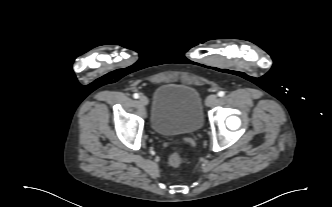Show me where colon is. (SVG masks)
<instances>
[{
    "mask_svg": "<svg viewBox=\"0 0 332 207\" xmlns=\"http://www.w3.org/2000/svg\"><path fill=\"white\" fill-rule=\"evenodd\" d=\"M183 155L181 152H175L169 157V164L173 167H178L183 163Z\"/></svg>",
    "mask_w": 332,
    "mask_h": 207,
    "instance_id": "5ec220e1",
    "label": "colon"
}]
</instances>
